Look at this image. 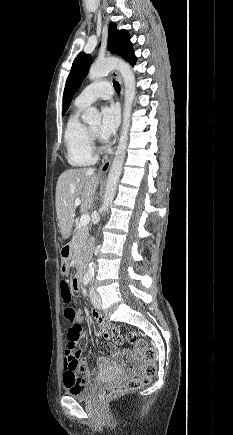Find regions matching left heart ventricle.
I'll return each instance as SVG.
<instances>
[{
	"label": "left heart ventricle",
	"instance_id": "left-heart-ventricle-1",
	"mask_svg": "<svg viewBox=\"0 0 233 435\" xmlns=\"http://www.w3.org/2000/svg\"><path fill=\"white\" fill-rule=\"evenodd\" d=\"M89 127H90L94 132H98L99 129H100L99 123L89 125Z\"/></svg>",
	"mask_w": 233,
	"mask_h": 435
}]
</instances>
